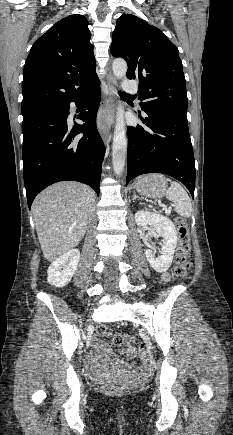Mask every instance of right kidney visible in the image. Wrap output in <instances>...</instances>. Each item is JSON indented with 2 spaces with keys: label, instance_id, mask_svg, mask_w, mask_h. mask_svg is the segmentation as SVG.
<instances>
[{
  "label": "right kidney",
  "instance_id": "right-kidney-1",
  "mask_svg": "<svg viewBox=\"0 0 233 435\" xmlns=\"http://www.w3.org/2000/svg\"><path fill=\"white\" fill-rule=\"evenodd\" d=\"M79 259V250L72 249L53 261L47 271L48 283L55 287L66 286L77 269Z\"/></svg>",
  "mask_w": 233,
  "mask_h": 435
}]
</instances>
